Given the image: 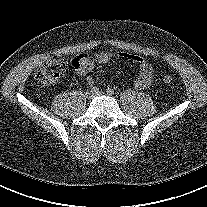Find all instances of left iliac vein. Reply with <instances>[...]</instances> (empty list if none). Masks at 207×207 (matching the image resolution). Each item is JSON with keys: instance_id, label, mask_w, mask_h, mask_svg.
I'll use <instances>...</instances> for the list:
<instances>
[{"instance_id": "4c4485c4", "label": "left iliac vein", "mask_w": 207, "mask_h": 207, "mask_svg": "<svg viewBox=\"0 0 207 207\" xmlns=\"http://www.w3.org/2000/svg\"><path fill=\"white\" fill-rule=\"evenodd\" d=\"M95 95H104V92L100 91V92L96 93Z\"/></svg>"}]
</instances>
